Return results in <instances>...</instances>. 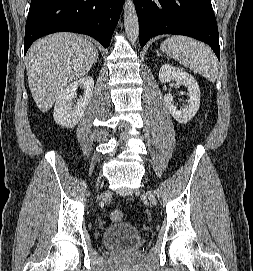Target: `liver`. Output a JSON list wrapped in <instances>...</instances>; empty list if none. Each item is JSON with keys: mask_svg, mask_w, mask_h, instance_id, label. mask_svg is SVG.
<instances>
[{"mask_svg": "<svg viewBox=\"0 0 253 271\" xmlns=\"http://www.w3.org/2000/svg\"><path fill=\"white\" fill-rule=\"evenodd\" d=\"M97 49L75 33H54L37 40L29 49L26 69L32 97L47 112L72 81L86 75L95 63Z\"/></svg>", "mask_w": 253, "mask_h": 271, "instance_id": "liver-1", "label": "liver"}]
</instances>
